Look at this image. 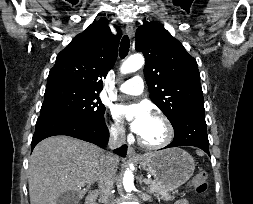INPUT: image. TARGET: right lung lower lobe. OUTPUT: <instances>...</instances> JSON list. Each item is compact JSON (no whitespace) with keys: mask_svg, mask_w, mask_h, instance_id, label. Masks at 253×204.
<instances>
[{"mask_svg":"<svg viewBox=\"0 0 253 204\" xmlns=\"http://www.w3.org/2000/svg\"><path fill=\"white\" fill-rule=\"evenodd\" d=\"M54 135H67L99 146H105L109 139V132L104 122L95 125L68 117L39 116L32 138L31 150L41 140ZM126 152V145L114 150V153L122 157L126 156Z\"/></svg>","mask_w":253,"mask_h":204,"instance_id":"obj_1","label":"right lung lower lobe"}]
</instances>
